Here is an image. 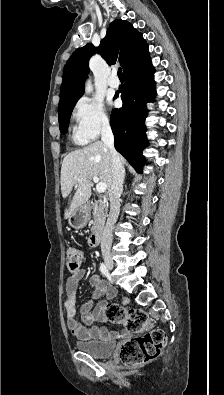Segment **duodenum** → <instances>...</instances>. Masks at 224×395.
Returning <instances> with one entry per match:
<instances>
[{
    "instance_id": "410a0bca",
    "label": "duodenum",
    "mask_w": 224,
    "mask_h": 395,
    "mask_svg": "<svg viewBox=\"0 0 224 395\" xmlns=\"http://www.w3.org/2000/svg\"><path fill=\"white\" fill-rule=\"evenodd\" d=\"M100 239H101V230L97 228L91 233L89 237L90 246L96 247L97 245H99Z\"/></svg>"
}]
</instances>
